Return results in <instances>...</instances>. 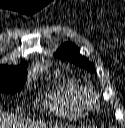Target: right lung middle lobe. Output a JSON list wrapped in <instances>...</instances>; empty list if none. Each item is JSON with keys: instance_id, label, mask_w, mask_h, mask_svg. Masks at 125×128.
<instances>
[{"instance_id": "dd1d6c3e", "label": "right lung middle lobe", "mask_w": 125, "mask_h": 128, "mask_svg": "<svg viewBox=\"0 0 125 128\" xmlns=\"http://www.w3.org/2000/svg\"><path fill=\"white\" fill-rule=\"evenodd\" d=\"M26 81L25 73L0 70V92L13 94L19 92Z\"/></svg>"}]
</instances>
